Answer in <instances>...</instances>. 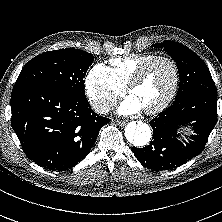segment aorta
I'll list each match as a JSON object with an SVG mask.
<instances>
[{"label": "aorta", "mask_w": 222, "mask_h": 222, "mask_svg": "<svg viewBox=\"0 0 222 222\" xmlns=\"http://www.w3.org/2000/svg\"><path fill=\"white\" fill-rule=\"evenodd\" d=\"M126 142L137 148L145 147L151 140L152 131L148 124L139 122H130L124 130Z\"/></svg>", "instance_id": "1"}]
</instances>
